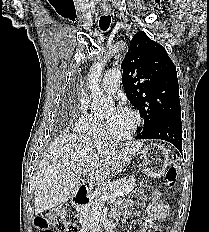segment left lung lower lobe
<instances>
[{"label": "left lung lower lobe", "instance_id": "1", "mask_svg": "<svg viewBox=\"0 0 209 232\" xmlns=\"http://www.w3.org/2000/svg\"><path fill=\"white\" fill-rule=\"evenodd\" d=\"M136 139H160L172 143L182 153L181 113L163 119L150 131L137 133Z\"/></svg>", "mask_w": 209, "mask_h": 232}]
</instances>
